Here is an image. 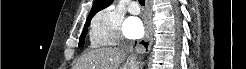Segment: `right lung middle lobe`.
<instances>
[{
    "mask_svg": "<svg viewBox=\"0 0 246 69\" xmlns=\"http://www.w3.org/2000/svg\"><path fill=\"white\" fill-rule=\"evenodd\" d=\"M90 25V21H87L85 23V27H89ZM88 29H84L81 36H80V39H79V46H83L84 45V39H85V36H86V33H87Z\"/></svg>",
    "mask_w": 246,
    "mask_h": 69,
    "instance_id": "right-lung-middle-lobe-1",
    "label": "right lung middle lobe"
}]
</instances>
